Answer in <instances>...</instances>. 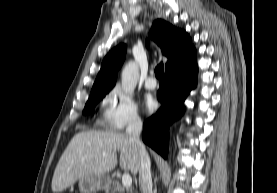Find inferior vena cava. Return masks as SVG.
I'll return each instance as SVG.
<instances>
[{
	"label": "inferior vena cava",
	"mask_w": 277,
	"mask_h": 193,
	"mask_svg": "<svg viewBox=\"0 0 277 193\" xmlns=\"http://www.w3.org/2000/svg\"><path fill=\"white\" fill-rule=\"evenodd\" d=\"M143 123L139 116L133 115L130 117L126 133L129 138L135 143L140 160L139 169V187L141 193H152V178L150 171V158L146 151L143 142L140 140Z\"/></svg>",
	"instance_id": "602c4592"
}]
</instances>
